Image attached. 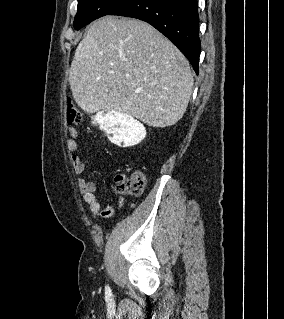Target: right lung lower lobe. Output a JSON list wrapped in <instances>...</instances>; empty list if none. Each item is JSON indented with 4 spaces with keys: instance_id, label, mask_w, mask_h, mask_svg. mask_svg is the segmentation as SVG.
<instances>
[{
    "instance_id": "98d812e1",
    "label": "right lung lower lobe",
    "mask_w": 284,
    "mask_h": 319,
    "mask_svg": "<svg viewBox=\"0 0 284 319\" xmlns=\"http://www.w3.org/2000/svg\"><path fill=\"white\" fill-rule=\"evenodd\" d=\"M109 15L148 22L179 48L198 74L201 43L197 0H130Z\"/></svg>"
}]
</instances>
